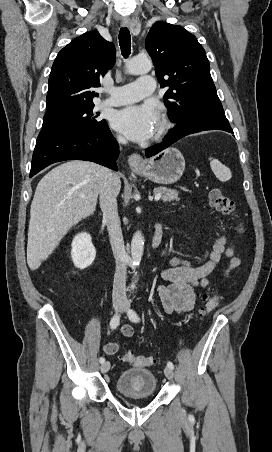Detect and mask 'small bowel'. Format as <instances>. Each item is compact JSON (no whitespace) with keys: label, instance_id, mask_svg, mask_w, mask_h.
Segmentation results:
<instances>
[{"label":"small bowel","instance_id":"small-bowel-1","mask_svg":"<svg viewBox=\"0 0 272 452\" xmlns=\"http://www.w3.org/2000/svg\"><path fill=\"white\" fill-rule=\"evenodd\" d=\"M222 257L229 260L226 275L240 264V259L234 255L233 248L227 244L224 237L219 238L211 251L197 262L176 256L170 257L168 266L162 271V278L166 284L158 288L164 310L167 313H185L193 310L196 305L195 288L208 286L207 277ZM120 334L131 338L134 335V329L130 325H123L120 328ZM119 349L118 340L108 342L103 347L107 355H115Z\"/></svg>","mask_w":272,"mask_h":452}]
</instances>
